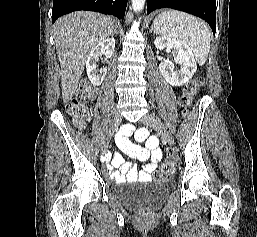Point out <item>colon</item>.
<instances>
[{
    "instance_id": "5ec220e1",
    "label": "colon",
    "mask_w": 257,
    "mask_h": 237,
    "mask_svg": "<svg viewBox=\"0 0 257 237\" xmlns=\"http://www.w3.org/2000/svg\"><path fill=\"white\" fill-rule=\"evenodd\" d=\"M203 85V79L196 77L190 80L184 87L183 93L179 99V104L182 108L187 109L190 107L194 96L198 93ZM94 95L91 86L82 82L76 91L74 97L71 99L67 106V111L72 117L77 127H83L89 117L90 101ZM176 159L173 154H170V159L156 172L158 180L169 179L176 169Z\"/></svg>"
}]
</instances>
